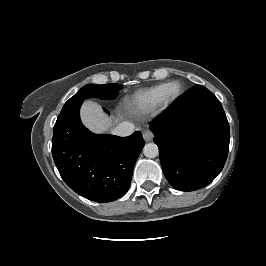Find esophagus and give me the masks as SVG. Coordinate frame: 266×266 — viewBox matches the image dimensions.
Wrapping results in <instances>:
<instances>
[{"label":"esophagus","mask_w":266,"mask_h":266,"mask_svg":"<svg viewBox=\"0 0 266 266\" xmlns=\"http://www.w3.org/2000/svg\"><path fill=\"white\" fill-rule=\"evenodd\" d=\"M143 138H144V140H145L146 142H150V141H152V139H153V134H152V132H150V131H148V130L144 131V132H143Z\"/></svg>","instance_id":"1"}]
</instances>
